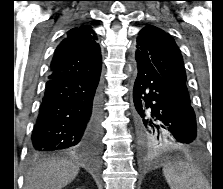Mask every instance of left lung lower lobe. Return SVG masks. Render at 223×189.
Returning <instances> with one entry per match:
<instances>
[{"label": "left lung lower lobe", "mask_w": 223, "mask_h": 189, "mask_svg": "<svg viewBox=\"0 0 223 189\" xmlns=\"http://www.w3.org/2000/svg\"><path fill=\"white\" fill-rule=\"evenodd\" d=\"M133 100L139 132L158 128L181 148H197L201 139L194 110L151 67L138 63Z\"/></svg>", "instance_id": "left-lung-lower-lobe-1"}]
</instances>
